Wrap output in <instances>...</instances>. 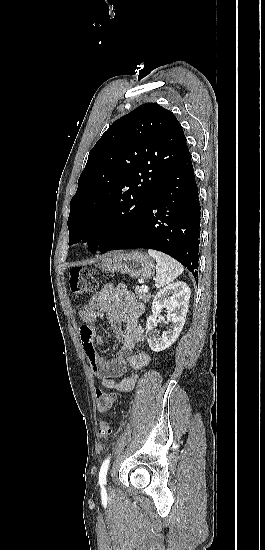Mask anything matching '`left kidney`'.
<instances>
[{"label": "left kidney", "instance_id": "5707ae66", "mask_svg": "<svg viewBox=\"0 0 265 550\" xmlns=\"http://www.w3.org/2000/svg\"><path fill=\"white\" fill-rule=\"evenodd\" d=\"M190 295V288L181 281L164 287L155 295L152 302V315L148 317L146 323V337L153 351L160 352L169 348L180 335L188 312ZM163 308L167 309V322L171 323L172 328L159 336V331L156 329L157 316Z\"/></svg>", "mask_w": 265, "mask_h": 550}]
</instances>
